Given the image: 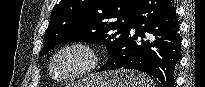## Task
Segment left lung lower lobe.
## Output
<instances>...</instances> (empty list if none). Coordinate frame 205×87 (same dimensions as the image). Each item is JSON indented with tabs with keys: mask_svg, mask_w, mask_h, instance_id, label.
Wrapping results in <instances>:
<instances>
[{
	"mask_svg": "<svg viewBox=\"0 0 205 87\" xmlns=\"http://www.w3.org/2000/svg\"><path fill=\"white\" fill-rule=\"evenodd\" d=\"M130 32L121 52L98 71L136 69L174 87V71L180 59L179 22L172 0H139L130 23ZM135 29V34L131 32ZM149 33V39L145 38ZM141 37V44L136 40Z\"/></svg>",
	"mask_w": 205,
	"mask_h": 87,
	"instance_id": "obj_1",
	"label": "left lung lower lobe"
}]
</instances>
